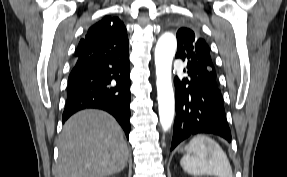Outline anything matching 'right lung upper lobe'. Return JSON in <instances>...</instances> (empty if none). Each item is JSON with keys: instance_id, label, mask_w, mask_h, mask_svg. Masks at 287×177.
<instances>
[{"instance_id": "cb5924a9", "label": "right lung upper lobe", "mask_w": 287, "mask_h": 177, "mask_svg": "<svg viewBox=\"0 0 287 177\" xmlns=\"http://www.w3.org/2000/svg\"><path fill=\"white\" fill-rule=\"evenodd\" d=\"M126 33V28L118 17L105 16L102 20L90 27L85 38L80 40L75 51V57L77 59L86 53V44L84 42L86 38H111Z\"/></svg>"}]
</instances>
